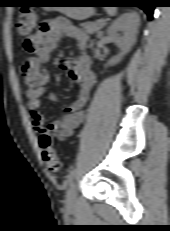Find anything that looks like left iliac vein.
<instances>
[{
	"label": "left iliac vein",
	"mask_w": 170,
	"mask_h": 231,
	"mask_svg": "<svg viewBox=\"0 0 170 231\" xmlns=\"http://www.w3.org/2000/svg\"><path fill=\"white\" fill-rule=\"evenodd\" d=\"M66 206L68 208H74L77 204V196H76V190H75V183L72 182L69 186V189L66 194V200H65Z\"/></svg>",
	"instance_id": "left-iliac-vein-1"
}]
</instances>
